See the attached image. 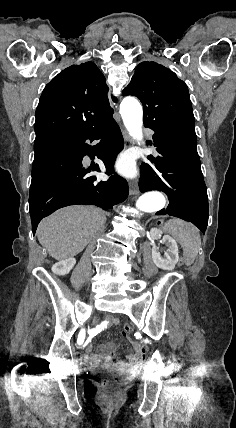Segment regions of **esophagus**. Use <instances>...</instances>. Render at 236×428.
Instances as JSON below:
<instances>
[{
	"label": "esophagus",
	"instance_id": "esophagus-1",
	"mask_svg": "<svg viewBox=\"0 0 236 428\" xmlns=\"http://www.w3.org/2000/svg\"><path fill=\"white\" fill-rule=\"evenodd\" d=\"M123 137L125 140V145L126 146H131L133 145V140L132 138L128 135V133L123 129ZM129 193L130 195H137L139 193V188L137 185L136 181H131L129 184Z\"/></svg>",
	"mask_w": 236,
	"mask_h": 428
}]
</instances>
